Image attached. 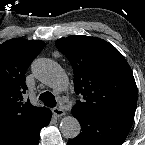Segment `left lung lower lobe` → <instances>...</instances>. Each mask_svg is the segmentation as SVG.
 I'll use <instances>...</instances> for the list:
<instances>
[{"mask_svg": "<svg viewBox=\"0 0 145 145\" xmlns=\"http://www.w3.org/2000/svg\"><path fill=\"white\" fill-rule=\"evenodd\" d=\"M81 124L80 134L68 145H121L126 139L134 117L128 115H100L72 111Z\"/></svg>", "mask_w": 145, "mask_h": 145, "instance_id": "obj_1", "label": "left lung lower lobe"}]
</instances>
